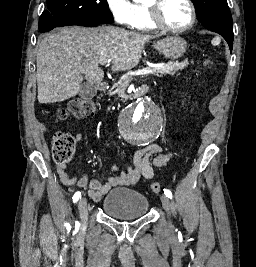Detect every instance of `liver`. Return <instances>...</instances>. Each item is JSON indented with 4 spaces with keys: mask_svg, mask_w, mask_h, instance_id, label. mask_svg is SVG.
<instances>
[{
    "mask_svg": "<svg viewBox=\"0 0 256 267\" xmlns=\"http://www.w3.org/2000/svg\"><path fill=\"white\" fill-rule=\"evenodd\" d=\"M153 38L158 36L115 26L55 28L40 42L36 54L38 102H64L77 96L83 74L89 84H101V60H111L112 72L132 70L139 64L146 42Z\"/></svg>",
    "mask_w": 256,
    "mask_h": 267,
    "instance_id": "6515ba94",
    "label": "liver"
}]
</instances>
